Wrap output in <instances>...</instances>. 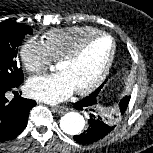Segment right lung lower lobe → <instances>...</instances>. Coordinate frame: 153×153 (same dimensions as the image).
Returning a JSON list of instances; mask_svg holds the SVG:
<instances>
[{"instance_id":"obj_1","label":"right lung lower lobe","mask_w":153,"mask_h":153,"mask_svg":"<svg viewBox=\"0 0 153 153\" xmlns=\"http://www.w3.org/2000/svg\"><path fill=\"white\" fill-rule=\"evenodd\" d=\"M19 85L0 84V141H7L19 135L26 127L30 110L36 105L34 100L22 97L8 101L5 93Z\"/></svg>"}]
</instances>
